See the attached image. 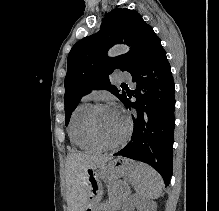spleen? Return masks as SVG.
Returning <instances> with one entry per match:
<instances>
[{
    "label": "spleen",
    "mask_w": 219,
    "mask_h": 211,
    "mask_svg": "<svg viewBox=\"0 0 219 211\" xmlns=\"http://www.w3.org/2000/svg\"><path fill=\"white\" fill-rule=\"evenodd\" d=\"M130 181L141 199H157L164 187L160 173L147 163L137 165L135 171L130 175Z\"/></svg>",
    "instance_id": "3e777b00"
}]
</instances>
